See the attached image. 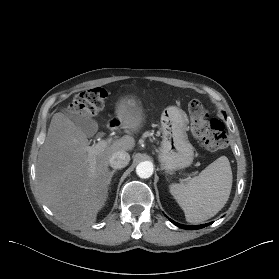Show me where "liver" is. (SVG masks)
Instances as JSON below:
<instances>
[{
  "mask_svg": "<svg viewBox=\"0 0 279 279\" xmlns=\"http://www.w3.org/2000/svg\"><path fill=\"white\" fill-rule=\"evenodd\" d=\"M116 120L124 129L138 132L144 111L135 96L122 97L115 106ZM88 136L62 112L51 119L41 146L36 181L45 205L72 229L89 227L105 205L110 184L109 157L116 151H130L133 137L125 136L90 155Z\"/></svg>",
  "mask_w": 279,
  "mask_h": 279,
  "instance_id": "obj_1",
  "label": "liver"
}]
</instances>
